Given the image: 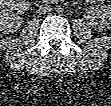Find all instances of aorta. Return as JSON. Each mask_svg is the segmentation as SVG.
I'll return each mask as SVG.
<instances>
[{"instance_id":"762f6f07","label":"aorta","mask_w":111,"mask_h":106,"mask_svg":"<svg viewBox=\"0 0 111 106\" xmlns=\"http://www.w3.org/2000/svg\"><path fill=\"white\" fill-rule=\"evenodd\" d=\"M56 12L57 13H62L63 12V7L62 5H58L56 8H55Z\"/></svg>"}]
</instances>
